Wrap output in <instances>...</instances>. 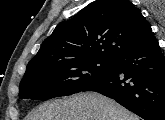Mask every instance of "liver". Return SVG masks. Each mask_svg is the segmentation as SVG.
<instances>
[{
    "label": "liver",
    "instance_id": "liver-1",
    "mask_svg": "<svg viewBox=\"0 0 165 120\" xmlns=\"http://www.w3.org/2000/svg\"><path fill=\"white\" fill-rule=\"evenodd\" d=\"M28 120H139L116 101L99 93H79L40 105Z\"/></svg>",
    "mask_w": 165,
    "mask_h": 120
}]
</instances>
